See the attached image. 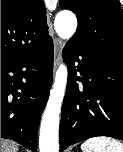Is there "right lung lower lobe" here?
I'll return each instance as SVG.
<instances>
[{
  "label": "right lung lower lobe",
  "instance_id": "98d812e1",
  "mask_svg": "<svg viewBox=\"0 0 123 152\" xmlns=\"http://www.w3.org/2000/svg\"><path fill=\"white\" fill-rule=\"evenodd\" d=\"M53 41L1 60V138L36 152L37 130L52 84Z\"/></svg>",
  "mask_w": 123,
  "mask_h": 152
}]
</instances>
